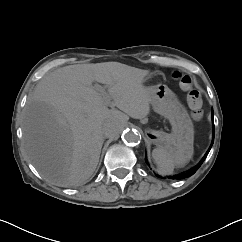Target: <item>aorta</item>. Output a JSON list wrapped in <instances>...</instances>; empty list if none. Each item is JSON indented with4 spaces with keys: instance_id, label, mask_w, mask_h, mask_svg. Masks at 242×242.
I'll use <instances>...</instances> for the list:
<instances>
[{
    "instance_id": "762f6f07",
    "label": "aorta",
    "mask_w": 242,
    "mask_h": 242,
    "mask_svg": "<svg viewBox=\"0 0 242 242\" xmlns=\"http://www.w3.org/2000/svg\"><path fill=\"white\" fill-rule=\"evenodd\" d=\"M122 139L126 143L136 144L140 141V134L136 130H125Z\"/></svg>"
}]
</instances>
